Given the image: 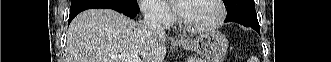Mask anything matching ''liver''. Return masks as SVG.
<instances>
[{"instance_id":"obj_1","label":"liver","mask_w":331,"mask_h":62,"mask_svg":"<svg viewBox=\"0 0 331 62\" xmlns=\"http://www.w3.org/2000/svg\"><path fill=\"white\" fill-rule=\"evenodd\" d=\"M166 36L110 9L80 13L67 32L65 62H111L110 55L137 51L142 62H163Z\"/></svg>"}]
</instances>
